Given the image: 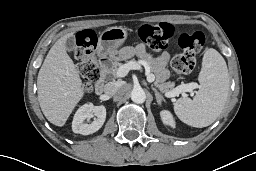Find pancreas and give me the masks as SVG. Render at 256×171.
I'll list each match as a JSON object with an SVG mask.
<instances>
[{
    "mask_svg": "<svg viewBox=\"0 0 256 171\" xmlns=\"http://www.w3.org/2000/svg\"><path fill=\"white\" fill-rule=\"evenodd\" d=\"M139 58L147 63L150 73L155 76L156 85L162 92L167 93L174 90V83L165 82V80L168 78L169 73L167 69L158 67L155 63L154 58L148 53H141L139 55ZM131 61H134V59ZM131 61H127L126 63H129ZM121 65L123 64L119 62H113L112 66L106 70V73L110 74L113 77H117V70Z\"/></svg>",
    "mask_w": 256,
    "mask_h": 171,
    "instance_id": "1",
    "label": "pancreas"
}]
</instances>
